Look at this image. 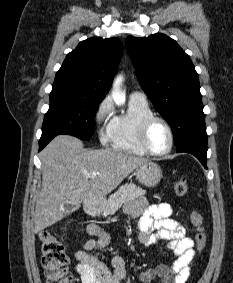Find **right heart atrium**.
<instances>
[{"label":"right heart atrium","mask_w":233,"mask_h":283,"mask_svg":"<svg viewBox=\"0 0 233 283\" xmlns=\"http://www.w3.org/2000/svg\"><path fill=\"white\" fill-rule=\"evenodd\" d=\"M114 106L109 97L100 101L94 113V123L97 129L99 141L102 145L111 142L112 125L114 119Z\"/></svg>","instance_id":"obj_1"}]
</instances>
